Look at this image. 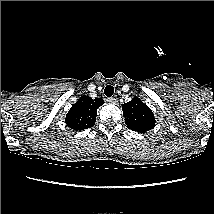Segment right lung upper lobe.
<instances>
[{"label": "right lung upper lobe", "mask_w": 214, "mask_h": 214, "mask_svg": "<svg viewBox=\"0 0 214 214\" xmlns=\"http://www.w3.org/2000/svg\"><path fill=\"white\" fill-rule=\"evenodd\" d=\"M103 103L104 101L101 98L92 99L83 95L66 115V124L75 131L93 127L96 121L97 109Z\"/></svg>", "instance_id": "cb5924a9"}]
</instances>
